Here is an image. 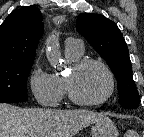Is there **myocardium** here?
<instances>
[{"label":"myocardium","instance_id":"myocardium-1","mask_svg":"<svg viewBox=\"0 0 144 137\" xmlns=\"http://www.w3.org/2000/svg\"><path fill=\"white\" fill-rule=\"evenodd\" d=\"M97 65L105 72L109 81V88L106 94L99 100L95 101H85L78 98L73 90L72 82H71V74L77 71H80L84 67L88 65ZM64 84L66 93L68 95L69 100L79 106L82 107H96L106 103L114 94L115 91V77L112 70L108 67V65L103 62L102 60L95 59V58H83L76 60L69 71V73L64 77Z\"/></svg>","mask_w":144,"mask_h":137}]
</instances>
